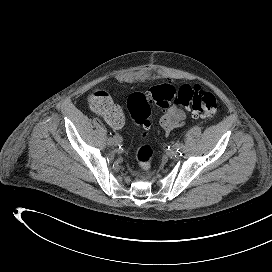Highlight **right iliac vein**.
Here are the masks:
<instances>
[{
    "label": "right iliac vein",
    "mask_w": 272,
    "mask_h": 272,
    "mask_svg": "<svg viewBox=\"0 0 272 272\" xmlns=\"http://www.w3.org/2000/svg\"><path fill=\"white\" fill-rule=\"evenodd\" d=\"M108 145H119L121 143V138L117 142H112L110 138L107 140Z\"/></svg>",
    "instance_id": "obj_1"
}]
</instances>
